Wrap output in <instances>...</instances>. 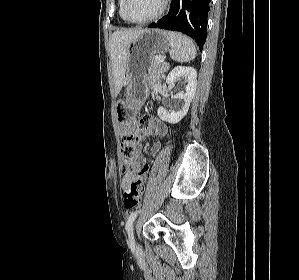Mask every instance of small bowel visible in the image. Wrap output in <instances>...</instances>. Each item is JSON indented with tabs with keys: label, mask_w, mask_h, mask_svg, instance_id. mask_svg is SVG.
<instances>
[{
	"label": "small bowel",
	"mask_w": 299,
	"mask_h": 280,
	"mask_svg": "<svg viewBox=\"0 0 299 280\" xmlns=\"http://www.w3.org/2000/svg\"><path fill=\"white\" fill-rule=\"evenodd\" d=\"M132 127L126 126L123 129V134L125 136L130 135ZM167 134L166 126L158 119L151 118L149 125L146 127V133H141V136L137 137V143L135 146V152L132 162L129 167L123 168V178L121 181V186L124 190H127L129 186L142 178L139 174L140 166L144 162V156L142 153V147L140 141L147 137H165ZM161 149V143L156 142L153 144L151 150L153 154H157Z\"/></svg>",
	"instance_id": "obj_1"
}]
</instances>
